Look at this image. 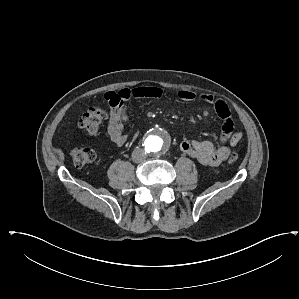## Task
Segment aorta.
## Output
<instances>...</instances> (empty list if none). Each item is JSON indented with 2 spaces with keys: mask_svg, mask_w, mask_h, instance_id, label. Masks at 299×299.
Masks as SVG:
<instances>
[{
  "mask_svg": "<svg viewBox=\"0 0 299 299\" xmlns=\"http://www.w3.org/2000/svg\"><path fill=\"white\" fill-rule=\"evenodd\" d=\"M168 139L160 131H153L144 140L146 151L151 155L160 154L167 147Z\"/></svg>",
  "mask_w": 299,
  "mask_h": 299,
  "instance_id": "aorta-1",
  "label": "aorta"
}]
</instances>
